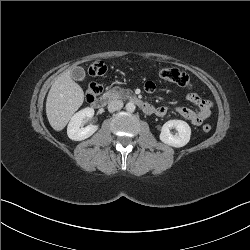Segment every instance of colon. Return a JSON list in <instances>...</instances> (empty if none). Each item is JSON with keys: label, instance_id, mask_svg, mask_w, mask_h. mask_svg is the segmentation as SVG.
I'll use <instances>...</instances> for the list:
<instances>
[{"label": "colon", "instance_id": "colon-1", "mask_svg": "<svg viewBox=\"0 0 250 250\" xmlns=\"http://www.w3.org/2000/svg\"><path fill=\"white\" fill-rule=\"evenodd\" d=\"M106 72V66L102 61L93 62L88 68V74L91 76H101ZM159 78L175 83L180 87H190L191 79L188 74L175 68H160L158 70ZM102 87L97 83H91L86 89V99L89 102L94 101L101 93ZM212 129L211 125L204 124L202 130L209 132Z\"/></svg>", "mask_w": 250, "mask_h": 250}]
</instances>
